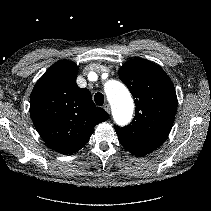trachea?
<instances>
[{
	"label": "trachea",
	"instance_id": "obj_1",
	"mask_svg": "<svg viewBox=\"0 0 211 211\" xmlns=\"http://www.w3.org/2000/svg\"><path fill=\"white\" fill-rule=\"evenodd\" d=\"M94 101L98 106H102L104 104V95L101 92H97L94 95Z\"/></svg>",
	"mask_w": 211,
	"mask_h": 211
}]
</instances>
